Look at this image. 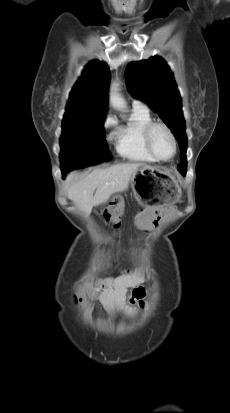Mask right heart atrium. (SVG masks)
<instances>
[{
  "instance_id": "right-heart-atrium-1",
  "label": "right heart atrium",
  "mask_w": 230,
  "mask_h": 413,
  "mask_svg": "<svg viewBox=\"0 0 230 413\" xmlns=\"http://www.w3.org/2000/svg\"><path fill=\"white\" fill-rule=\"evenodd\" d=\"M115 124H116L115 119H114L113 117H111V116H108V117L104 120L103 128H104L105 130H110V129H112V128L115 126ZM112 136H113V134L110 133V134L108 135V139L110 140V139L112 138Z\"/></svg>"
}]
</instances>
